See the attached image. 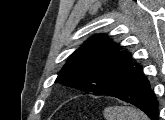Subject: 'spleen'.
<instances>
[{
    "label": "spleen",
    "instance_id": "obj_1",
    "mask_svg": "<svg viewBox=\"0 0 165 120\" xmlns=\"http://www.w3.org/2000/svg\"><path fill=\"white\" fill-rule=\"evenodd\" d=\"M106 120H149L141 111L126 106H112L104 110Z\"/></svg>",
    "mask_w": 165,
    "mask_h": 120
}]
</instances>
